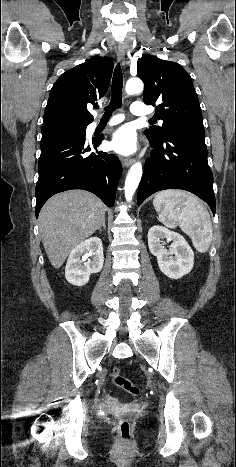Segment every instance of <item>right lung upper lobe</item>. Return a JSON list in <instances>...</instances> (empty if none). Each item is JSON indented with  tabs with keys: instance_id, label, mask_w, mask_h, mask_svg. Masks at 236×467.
<instances>
[{
	"instance_id": "cb5924a9",
	"label": "right lung upper lobe",
	"mask_w": 236,
	"mask_h": 467,
	"mask_svg": "<svg viewBox=\"0 0 236 467\" xmlns=\"http://www.w3.org/2000/svg\"><path fill=\"white\" fill-rule=\"evenodd\" d=\"M113 65L108 57L94 56L63 73L50 91L42 131L87 127L93 121L87 105L106 94Z\"/></svg>"
}]
</instances>
